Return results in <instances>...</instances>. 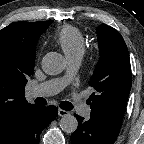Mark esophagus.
Returning a JSON list of instances; mask_svg holds the SVG:
<instances>
[{
	"mask_svg": "<svg viewBox=\"0 0 144 144\" xmlns=\"http://www.w3.org/2000/svg\"><path fill=\"white\" fill-rule=\"evenodd\" d=\"M68 114H69L68 111L63 110V109H58V115H59L60 117L67 116Z\"/></svg>",
	"mask_w": 144,
	"mask_h": 144,
	"instance_id": "34e87169",
	"label": "esophagus"
}]
</instances>
